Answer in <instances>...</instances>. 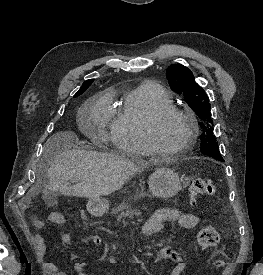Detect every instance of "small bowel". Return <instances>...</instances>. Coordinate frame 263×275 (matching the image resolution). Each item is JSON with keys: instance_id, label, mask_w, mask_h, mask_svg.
Returning a JSON list of instances; mask_svg holds the SVG:
<instances>
[{"instance_id": "1", "label": "small bowel", "mask_w": 263, "mask_h": 275, "mask_svg": "<svg viewBox=\"0 0 263 275\" xmlns=\"http://www.w3.org/2000/svg\"><path fill=\"white\" fill-rule=\"evenodd\" d=\"M168 222H175L182 229H194L199 224V218L195 214L185 213L181 210L174 208H163L156 210L151 217L141 226L140 233L142 236L147 237L156 233L164 228L165 224ZM57 223V224H62ZM34 226L38 229L46 228L45 222L41 220H35ZM35 243L37 247V256L39 261L42 263V266L47 274L49 275H67L60 267L52 262H47L44 260V255L46 252V245L44 239L40 235L35 236ZM87 240L93 245L99 247L102 246L103 241L101 237L97 234H91L87 237ZM61 241L66 246H71L73 243L72 236L68 233H64L61 236ZM111 252L110 247H105L103 258H106ZM159 257L164 259H170L176 263L175 267L172 269L170 275H181L185 269V262L182 256L169 249L163 248L159 252ZM74 261V270L76 275H90L86 272V263L82 260H77L73 257Z\"/></svg>"}]
</instances>
